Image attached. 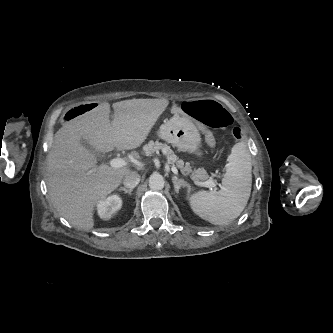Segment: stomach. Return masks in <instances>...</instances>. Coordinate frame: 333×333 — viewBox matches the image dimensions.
Masks as SVG:
<instances>
[{"label":"stomach","instance_id":"0dacf381","mask_svg":"<svg viewBox=\"0 0 333 333\" xmlns=\"http://www.w3.org/2000/svg\"><path fill=\"white\" fill-rule=\"evenodd\" d=\"M161 139L177 147L180 151L203 156L199 130L180 116H174L160 126Z\"/></svg>","mask_w":333,"mask_h":333}]
</instances>
